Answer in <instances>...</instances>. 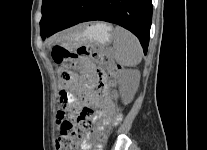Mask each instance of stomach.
Listing matches in <instances>:
<instances>
[{"mask_svg":"<svg viewBox=\"0 0 207 150\" xmlns=\"http://www.w3.org/2000/svg\"><path fill=\"white\" fill-rule=\"evenodd\" d=\"M112 37V26L105 22H93L81 28L69 30L56 41L65 48H73L80 44L93 43L105 45Z\"/></svg>","mask_w":207,"mask_h":150,"instance_id":"0dacf381","label":"stomach"}]
</instances>
